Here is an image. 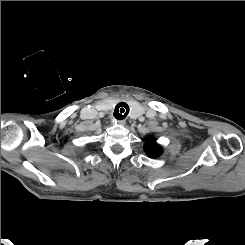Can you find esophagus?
<instances>
[{"label":"esophagus","mask_w":245,"mask_h":245,"mask_svg":"<svg viewBox=\"0 0 245 245\" xmlns=\"http://www.w3.org/2000/svg\"><path fill=\"white\" fill-rule=\"evenodd\" d=\"M117 123H119L120 125H124L125 124V120H116Z\"/></svg>","instance_id":"34e87169"}]
</instances>
